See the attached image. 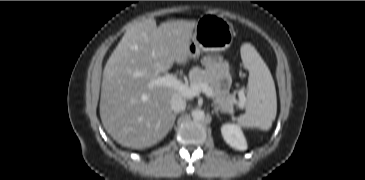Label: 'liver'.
Returning <instances> with one entry per match:
<instances>
[{
    "label": "liver",
    "instance_id": "6515ba94",
    "mask_svg": "<svg viewBox=\"0 0 365 180\" xmlns=\"http://www.w3.org/2000/svg\"><path fill=\"white\" fill-rule=\"evenodd\" d=\"M196 21L162 23L154 19L131 24L109 57L103 72L100 117L119 144L142 149L161 141L172 125L170 100L177 90L150 86L174 63L190 58L188 41Z\"/></svg>",
    "mask_w": 365,
    "mask_h": 180
}]
</instances>
